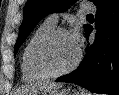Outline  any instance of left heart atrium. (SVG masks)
I'll list each match as a JSON object with an SVG mask.
<instances>
[{
  "instance_id": "left-heart-atrium-1",
  "label": "left heart atrium",
  "mask_w": 119,
  "mask_h": 95,
  "mask_svg": "<svg viewBox=\"0 0 119 95\" xmlns=\"http://www.w3.org/2000/svg\"><path fill=\"white\" fill-rule=\"evenodd\" d=\"M70 36L72 38V40L74 41V43L77 45V47L80 45V33L78 30H74L72 33H70Z\"/></svg>"
}]
</instances>
